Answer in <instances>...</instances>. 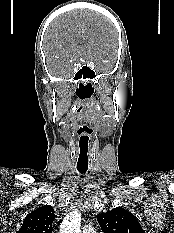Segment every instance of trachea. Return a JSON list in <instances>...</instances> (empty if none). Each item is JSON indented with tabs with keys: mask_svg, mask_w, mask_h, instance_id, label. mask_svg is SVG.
Instances as JSON below:
<instances>
[{
	"mask_svg": "<svg viewBox=\"0 0 174 233\" xmlns=\"http://www.w3.org/2000/svg\"><path fill=\"white\" fill-rule=\"evenodd\" d=\"M88 167H77V170L80 172V173H85L87 171Z\"/></svg>",
	"mask_w": 174,
	"mask_h": 233,
	"instance_id": "3493384b",
	"label": "trachea"
}]
</instances>
